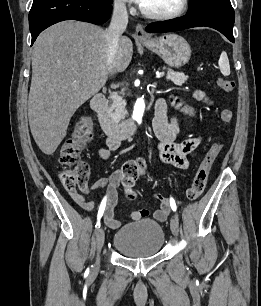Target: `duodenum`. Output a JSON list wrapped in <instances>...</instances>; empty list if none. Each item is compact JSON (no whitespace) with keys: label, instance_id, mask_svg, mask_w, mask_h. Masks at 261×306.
I'll return each instance as SVG.
<instances>
[{"label":"duodenum","instance_id":"1","mask_svg":"<svg viewBox=\"0 0 261 306\" xmlns=\"http://www.w3.org/2000/svg\"><path fill=\"white\" fill-rule=\"evenodd\" d=\"M91 108L96 113L100 126L108 137L123 140L135 132L136 124L132 120L118 121L110 115L103 94H96L92 98Z\"/></svg>","mask_w":261,"mask_h":306}]
</instances>
